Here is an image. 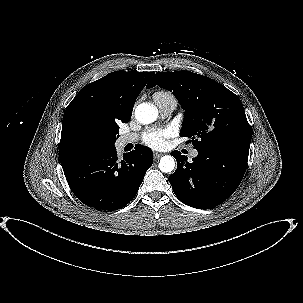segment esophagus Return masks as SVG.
<instances>
[{"instance_id": "obj_1", "label": "esophagus", "mask_w": 303, "mask_h": 303, "mask_svg": "<svg viewBox=\"0 0 303 303\" xmlns=\"http://www.w3.org/2000/svg\"><path fill=\"white\" fill-rule=\"evenodd\" d=\"M154 158L155 159H159L163 154L162 153H158V152H154Z\"/></svg>"}]
</instances>
